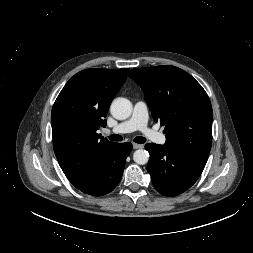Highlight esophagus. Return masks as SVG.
<instances>
[{
    "instance_id": "esophagus-1",
    "label": "esophagus",
    "mask_w": 253,
    "mask_h": 253,
    "mask_svg": "<svg viewBox=\"0 0 253 253\" xmlns=\"http://www.w3.org/2000/svg\"><path fill=\"white\" fill-rule=\"evenodd\" d=\"M143 148L142 144L133 143V149H141Z\"/></svg>"
}]
</instances>
